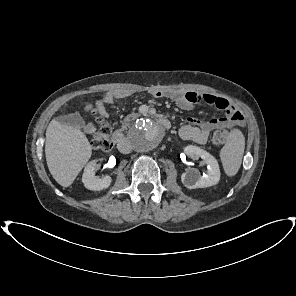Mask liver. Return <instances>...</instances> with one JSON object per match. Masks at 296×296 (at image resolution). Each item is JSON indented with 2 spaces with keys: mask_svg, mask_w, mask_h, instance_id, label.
I'll list each match as a JSON object with an SVG mask.
<instances>
[{
  "mask_svg": "<svg viewBox=\"0 0 296 296\" xmlns=\"http://www.w3.org/2000/svg\"><path fill=\"white\" fill-rule=\"evenodd\" d=\"M91 154L92 147L81 130L52 119L46 130L45 155L48 169L58 184L69 187Z\"/></svg>",
  "mask_w": 296,
  "mask_h": 296,
  "instance_id": "liver-1",
  "label": "liver"
}]
</instances>
